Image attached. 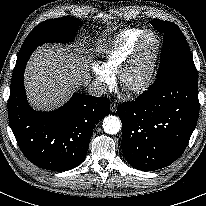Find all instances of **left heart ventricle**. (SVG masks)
Returning a JSON list of instances; mask_svg holds the SVG:
<instances>
[{"instance_id": "obj_1", "label": "left heart ventricle", "mask_w": 206, "mask_h": 206, "mask_svg": "<svg viewBox=\"0 0 206 206\" xmlns=\"http://www.w3.org/2000/svg\"><path fill=\"white\" fill-rule=\"evenodd\" d=\"M153 48H154V41L152 38H149L141 53L140 60L137 62V64L134 66V68L132 69V71L128 76V82L130 84L136 82L145 74L151 56L153 54Z\"/></svg>"}]
</instances>
